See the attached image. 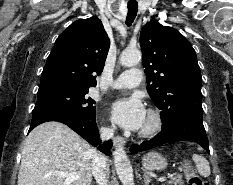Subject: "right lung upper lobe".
<instances>
[{
	"mask_svg": "<svg viewBox=\"0 0 233 185\" xmlns=\"http://www.w3.org/2000/svg\"><path fill=\"white\" fill-rule=\"evenodd\" d=\"M110 41L98 17L79 19L58 36L41 74L39 90L96 86Z\"/></svg>",
	"mask_w": 233,
	"mask_h": 185,
	"instance_id": "1",
	"label": "right lung upper lobe"
}]
</instances>
